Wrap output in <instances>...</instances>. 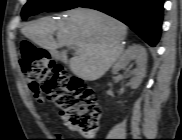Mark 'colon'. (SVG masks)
Returning a JSON list of instances; mask_svg holds the SVG:
<instances>
[{
    "label": "colon",
    "mask_w": 182,
    "mask_h": 140,
    "mask_svg": "<svg viewBox=\"0 0 182 140\" xmlns=\"http://www.w3.org/2000/svg\"><path fill=\"white\" fill-rule=\"evenodd\" d=\"M18 53L32 93L51 101L71 131L93 136L100 119L94 91L82 79L71 76L46 50L30 41H20Z\"/></svg>",
    "instance_id": "obj_1"
}]
</instances>
